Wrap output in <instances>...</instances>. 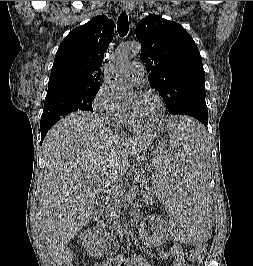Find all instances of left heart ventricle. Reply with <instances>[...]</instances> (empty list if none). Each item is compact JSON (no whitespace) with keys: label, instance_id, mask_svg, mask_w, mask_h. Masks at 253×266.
Returning <instances> with one entry per match:
<instances>
[{"label":"left heart ventricle","instance_id":"1","mask_svg":"<svg viewBox=\"0 0 253 266\" xmlns=\"http://www.w3.org/2000/svg\"><path fill=\"white\" fill-rule=\"evenodd\" d=\"M125 108L141 126L153 123L159 114L158 102L151 95L131 93L125 102Z\"/></svg>","mask_w":253,"mask_h":266}]
</instances>
